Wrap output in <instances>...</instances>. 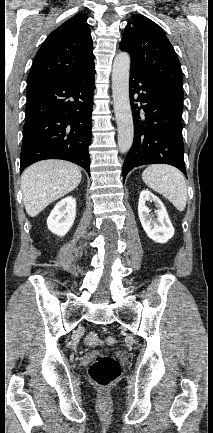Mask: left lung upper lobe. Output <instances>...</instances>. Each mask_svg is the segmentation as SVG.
Here are the masks:
<instances>
[{
    "mask_svg": "<svg viewBox=\"0 0 213 433\" xmlns=\"http://www.w3.org/2000/svg\"><path fill=\"white\" fill-rule=\"evenodd\" d=\"M131 56V69L149 82L183 98V76L179 59L162 29L142 15H135L125 27L119 45Z\"/></svg>",
    "mask_w": 213,
    "mask_h": 433,
    "instance_id": "obj_1",
    "label": "left lung upper lobe"
}]
</instances>
